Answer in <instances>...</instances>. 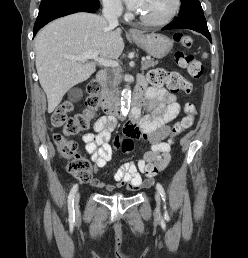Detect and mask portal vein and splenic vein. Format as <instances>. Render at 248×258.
Wrapping results in <instances>:
<instances>
[{
    "instance_id": "obj_1",
    "label": "portal vein and splenic vein",
    "mask_w": 248,
    "mask_h": 258,
    "mask_svg": "<svg viewBox=\"0 0 248 258\" xmlns=\"http://www.w3.org/2000/svg\"><path fill=\"white\" fill-rule=\"evenodd\" d=\"M67 58L75 61H81L85 62L88 59H94L97 61L99 64L106 66V67H118L119 63L118 61L115 60H106L98 57V54L96 52H87L79 56H68ZM146 61L145 58H142V62Z\"/></svg>"
}]
</instances>
